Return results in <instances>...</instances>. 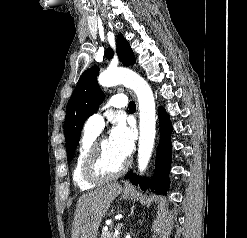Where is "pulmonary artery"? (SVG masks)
<instances>
[{"instance_id":"pulmonary-artery-1","label":"pulmonary artery","mask_w":247,"mask_h":238,"mask_svg":"<svg viewBox=\"0 0 247 238\" xmlns=\"http://www.w3.org/2000/svg\"><path fill=\"white\" fill-rule=\"evenodd\" d=\"M128 104L127 97L123 94H117L110 98L108 104L101 111L91 115L85 122V129L99 133L104 126L103 110L108 107L120 108Z\"/></svg>"}]
</instances>
